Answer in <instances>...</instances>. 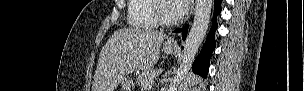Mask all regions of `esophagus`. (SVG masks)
Segmentation results:
<instances>
[{
	"instance_id": "1",
	"label": "esophagus",
	"mask_w": 304,
	"mask_h": 91,
	"mask_svg": "<svg viewBox=\"0 0 304 91\" xmlns=\"http://www.w3.org/2000/svg\"><path fill=\"white\" fill-rule=\"evenodd\" d=\"M172 43H173L174 45H177V44H178V41L175 40V41H172Z\"/></svg>"
}]
</instances>
